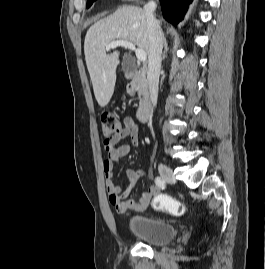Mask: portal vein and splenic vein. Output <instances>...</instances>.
<instances>
[{
	"instance_id": "1",
	"label": "portal vein and splenic vein",
	"mask_w": 265,
	"mask_h": 269,
	"mask_svg": "<svg viewBox=\"0 0 265 269\" xmlns=\"http://www.w3.org/2000/svg\"><path fill=\"white\" fill-rule=\"evenodd\" d=\"M118 46H122V47L128 48L129 50L134 51L137 59L141 62H144L147 59V54L145 53L144 50L140 48H136L132 42L126 41V40H116V41L110 42L109 44L106 45V51H109L110 49H114Z\"/></svg>"
}]
</instances>
